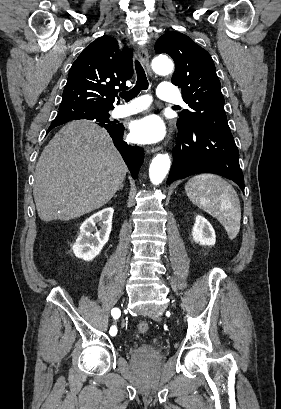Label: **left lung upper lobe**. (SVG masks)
<instances>
[{
	"mask_svg": "<svg viewBox=\"0 0 281 409\" xmlns=\"http://www.w3.org/2000/svg\"><path fill=\"white\" fill-rule=\"evenodd\" d=\"M155 51L173 58L175 73L171 81L182 89L183 99L190 107L181 112L178 129L202 124L230 132L220 81L209 53L185 34L174 31L157 40Z\"/></svg>",
	"mask_w": 281,
	"mask_h": 409,
	"instance_id": "obj_1",
	"label": "left lung upper lobe"
}]
</instances>
